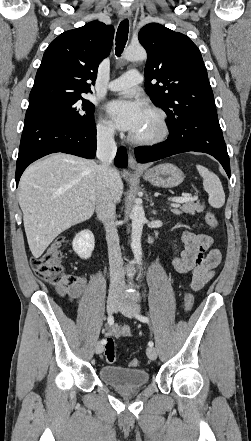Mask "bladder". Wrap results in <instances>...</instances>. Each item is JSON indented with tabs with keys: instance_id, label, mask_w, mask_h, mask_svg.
Here are the masks:
<instances>
[{
	"instance_id": "31cf9c89",
	"label": "bladder",
	"mask_w": 251,
	"mask_h": 441,
	"mask_svg": "<svg viewBox=\"0 0 251 441\" xmlns=\"http://www.w3.org/2000/svg\"><path fill=\"white\" fill-rule=\"evenodd\" d=\"M100 379L106 384L118 389H133L149 382V373L144 369L125 368L105 365L99 370Z\"/></svg>"
}]
</instances>
